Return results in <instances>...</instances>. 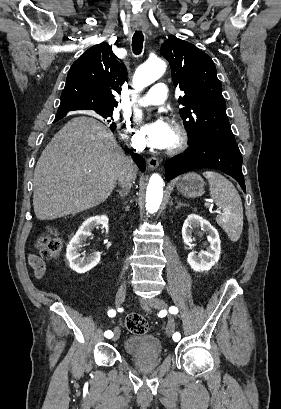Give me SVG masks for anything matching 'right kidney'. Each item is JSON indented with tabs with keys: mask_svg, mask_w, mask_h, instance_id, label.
Wrapping results in <instances>:
<instances>
[{
	"mask_svg": "<svg viewBox=\"0 0 281 409\" xmlns=\"http://www.w3.org/2000/svg\"><path fill=\"white\" fill-rule=\"evenodd\" d=\"M97 225H103L108 233V217L106 215H97V217H88L81 227H79L76 235L72 237L67 249L70 251L71 255V269L76 271V273H87L91 271L93 267L98 265L101 259V253H91L90 257H81L80 247L82 243H85L87 237L92 235L94 227Z\"/></svg>",
	"mask_w": 281,
	"mask_h": 409,
	"instance_id": "obj_1",
	"label": "right kidney"
}]
</instances>
